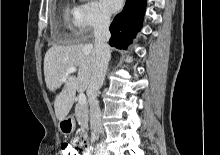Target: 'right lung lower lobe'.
I'll list each match as a JSON object with an SVG mask.
<instances>
[{
    "label": "right lung lower lobe",
    "instance_id": "1",
    "mask_svg": "<svg viewBox=\"0 0 220 155\" xmlns=\"http://www.w3.org/2000/svg\"><path fill=\"white\" fill-rule=\"evenodd\" d=\"M146 0H126V4L110 25L109 44L126 49L140 31L145 13Z\"/></svg>",
    "mask_w": 220,
    "mask_h": 155
}]
</instances>
